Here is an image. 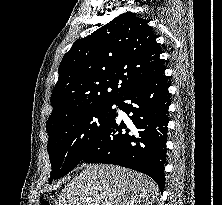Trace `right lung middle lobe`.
<instances>
[{"mask_svg":"<svg viewBox=\"0 0 222 205\" xmlns=\"http://www.w3.org/2000/svg\"><path fill=\"white\" fill-rule=\"evenodd\" d=\"M119 101L100 102L46 125L47 150L52 172L49 183L74 169L84 158L94 139L113 121Z\"/></svg>","mask_w":222,"mask_h":205,"instance_id":"right-lung-middle-lobe-1","label":"right lung middle lobe"}]
</instances>
